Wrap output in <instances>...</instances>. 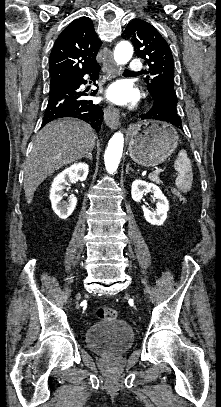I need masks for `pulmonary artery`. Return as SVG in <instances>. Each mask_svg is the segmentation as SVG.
I'll list each match as a JSON object with an SVG mask.
<instances>
[{
  "label": "pulmonary artery",
  "mask_w": 221,
  "mask_h": 407,
  "mask_svg": "<svg viewBox=\"0 0 221 407\" xmlns=\"http://www.w3.org/2000/svg\"><path fill=\"white\" fill-rule=\"evenodd\" d=\"M129 69L133 73H141L142 63L139 60H133L129 65Z\"/></svg>",
  "instance_id": "pulmonary-artery-1"
}]
</instances>
